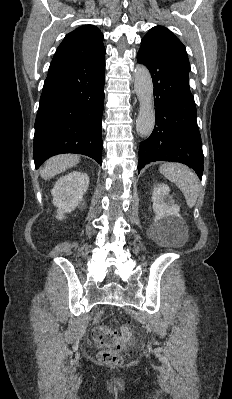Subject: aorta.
Instances as JSON below:
<instances>
[{
    "label": "aorta",
    "instance_id": "1",
    "mask_svg": "<svg viewBox=\"0 0 232 399\" xmlns=\"http://www.w3.org/2000/svg\"><path fill=\"white\" fill-rule=\"evenodd\" d=\"M134 90L140 103L136 120V131L141 137H148L155 126L153 104V83L149 70L144 65L135 68Z\"/></svg>",
    "mask_w": 232,
    "mask_h": 399
}]
</instances>
